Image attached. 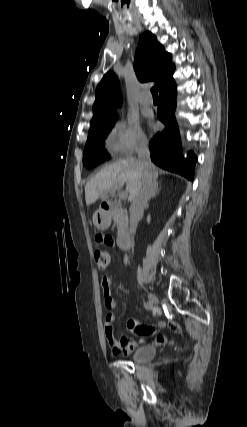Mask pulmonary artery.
Masks as SVG:
<instances>
[{"mask_svg":"<svg viewBox=\"0 0 247 427\" xmlns=\"http://www.w3.org/2000/svg\"><path fill=\"white\" fill-rule=\"evenodd\" d=\"M139 102L144 106H148L152 104V98L149 95H142Z\"/></svg>","mask_w":247,"mask_h":427,"instance_id":"e3ab8cb5","label":"pulmonary artery"}]
</instances>
